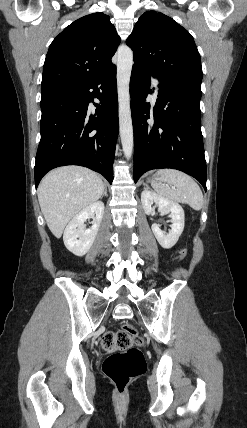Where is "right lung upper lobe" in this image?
<instances>
[{
  "label": "right lung upper lobe",
  "instance_id": "obj_1",
  "mask_svg": "<svg viewBox=\"0 0 247 428\" xmlns=\"http://www.w3.org/2000/svg\"><path fill=\"white\" fill-rule=\"evenodd\" d=\"M120 43L110 17L102 12L67 26L51 43L42 75L41 93L79 89L114 64Z\"/></svg>",
  "mask_w": 247,
  "mask_h": 428
}]
</instances>
